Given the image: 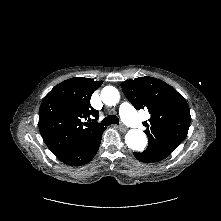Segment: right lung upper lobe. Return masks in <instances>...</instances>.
<instances>
[{
    "instance_id": "right-lung-upper-lobe-1",
    "label": "right lung upper lobe",
    "mask_w": 221,
    "mask_h": 221,
    "mask_svg": "<svg viewBox=\"0 0 221 221\" xmlns=\"http://www.w3.org/2000/svg\"><path fill=\"white\" fill-rule=\"evenodd\" d=\"M102 81L74 77L56 85L43 99L39 109V130L51 150L59 156L104 127L97 126L99 112L90 105L92 93ZM91 123L83 122L84 119Z\"/></svg>"
}]
</instances>
